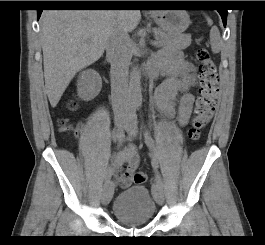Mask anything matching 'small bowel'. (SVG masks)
Segmentation results:
<instances>
[{"label": "small bowel", "instance_id": "1", "mask_svg": "<svg viewBox=\"0 0 265 245\" xmlns=\"http://www.w3.org/2000/svg\"><path fill=\"white\" fill-rule=\"evenodd\" d=\"M148 66L161 70L167 78L156 90L155 104L160 112L171 117L178 111V121L182 126L189 123L195 97L188 88L195 83L194 69L179 54L152 59ZM139 164V155L134 145L121 149L113 155L109 176L117 180L121 187H128L133 182L134 173Z\"/></svg>", "mask_w": 265, "mask_h": 245}]
</instances>
